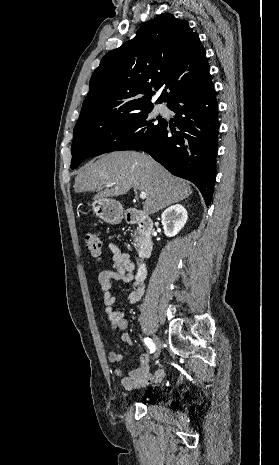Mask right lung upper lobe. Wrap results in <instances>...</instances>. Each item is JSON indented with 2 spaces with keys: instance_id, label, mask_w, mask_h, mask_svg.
<instances>
[{
  "instance_id": "obj_1",
  "label": "right lung upper lobe",
  "mask_w": 279,
  "mask_h": 465,
  "mask_svg": "<svg viewBox=\"0 0 279 465\" xmlns=\"http://www.w3.org/2000/svg\"><path fill=\"white\" fill-rule=\"evenodd\" d=\"M206 52L185 20L163 13L142 25L136 36L110 51L90 80L78 125H99L151 103L170 102L211 75Z\"/></svg>"
}]
</instances>
